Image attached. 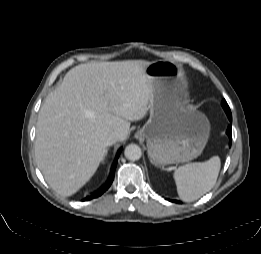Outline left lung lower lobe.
Masks as SVG:
<instances>
[{"mask_svg":"<svg viewBox=\"0 0 261 254\" xmlns=\"http://www.w3.org/2000/svg\"><path fill=\"white\" fill-rule=\"evenodd\" d=\"M228 119L230 120V122L232 121V115H231V111L230 112H226ZM230 138V146H231V141H232V128L231 125L228 126L227 132H226ZM172 202L177 203V200H171Z\"/></svg>","mask_w":261,"mask_h":254,"instance_id":"obj_1","label":"left lung lower lobe"}]
</instances>
